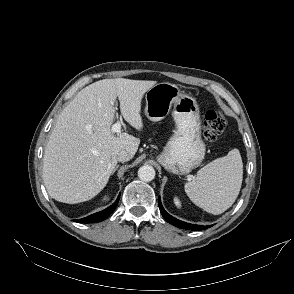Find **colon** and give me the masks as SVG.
Masks as SVG:
<instances>
[{"label": "colon", "mask_w": 294, "mask_h": 294, "mask_svg": "<svg viewBox=\"0 0 294 294\" xmlns=\"http://www.w3.org/2000/svg\"><path fill=\"white\" fill-rule=\"evenodd\" d=\"M226 119L221 112L209 110L206 113L203 126V139L207 142L214 141L226 128Z\"/></svg>", "instance_id": "obj_1"}]
</instances>
